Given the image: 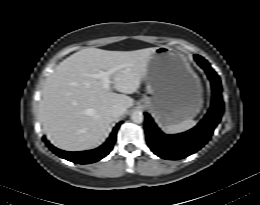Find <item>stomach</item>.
Listing matches in <instances>:
<instances>
[{"mask_svg": "<svg viewBox=\"0 0 260 205\" xmlns=\"http://www.w3.org/2000/svg\"><path fill=\"white\" fill-rule=\"evenodd\" d=\"M144 79L147 92L141 103L162 127L193 118L200 111L202 86L187 57L180 51L157 47Z\"/></svg>", "mask_w": 260, "mask_h": 205, "instance_id": "stomach-1", "label": "stomach"}]
</instances>
